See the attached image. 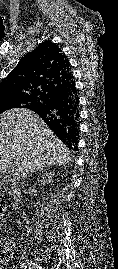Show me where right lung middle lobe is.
I'll use <instances>...</instances> for the list:
<instances>
[{"mask_svg": "<svg viewBox=\"0 0 118 269\" xmlns=\"http://www.w3.org/2000/svg\"><path fill=\"white\" fill-rule=\"evenodd\" d=\"M36 105L32 98L2 99L0 100V114L12 108H30Z\"/></svg>", "mask_w": 118, "mask_h": 269, "instance_id": "right-lung-middle-lobe-1", "label": "right lung middle lobe"}]
</instances>
